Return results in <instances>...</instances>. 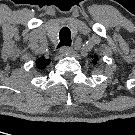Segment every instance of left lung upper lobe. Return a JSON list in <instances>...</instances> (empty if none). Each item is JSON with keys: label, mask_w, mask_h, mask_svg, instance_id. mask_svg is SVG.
<instances>
[{"label": "left lung upper lobe", "mask_w": 135, "mask_h": 135, "mask_svg": "<svg viewBox=\"0 0 135 135\" xmlns=\"http://www.w3.org/2000/svg\"><path fill=\"white\" fill-rule=\"evenodd\" d=\"M97 60H98V57L97 56H94V58H93V64H96L97 63Z\"/></svg>", "instance_id": "left-lung-upper-lobe-1"}]
</instances>
